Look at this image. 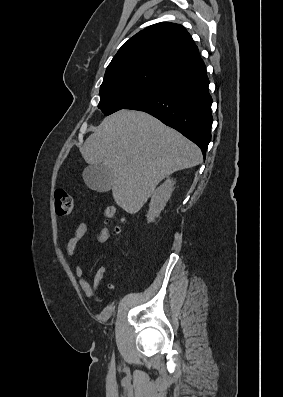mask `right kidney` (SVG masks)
Returning <instances> with one entry per match:
<instances>
[{"instance_id": "right-kidney-1", "label": "right kidney", "mask_w": 283, "mask_h": 397, "mask_svg": "<svg viewBox=\"0 0 283 397\" xmlns=\"http://www.w3.org/2000/svg\"><path fill=\"white\" fill-rule=\"evenodd\" d=\"M175 181L167 178L151 195V202L147 214V221L151 223L155 218L159 217L161 211L166 206L174 190Z\"/></svg>"}]
</instances>
